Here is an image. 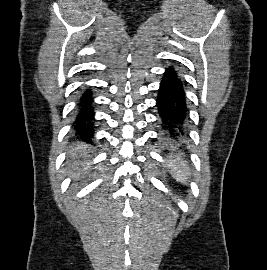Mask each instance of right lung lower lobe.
<instances>
[{"instance_id":"right-lung-lower-lobe-1","label":"right lung lower lobe","mask_w":267,"mask_h":270,"mask_svg":"<svg viewBox=\"0 0 267 270\" xmlns=\"http://www.w3.org/2000/svg\"><path fill=\"white\" fill-rule=\"evenodd\" d=\"M92 95L87 89L79 99L76 107L75 120L73 122V132L84 141H91L94 135V110L92 106Z\"/></svg>"}]
</instances>
